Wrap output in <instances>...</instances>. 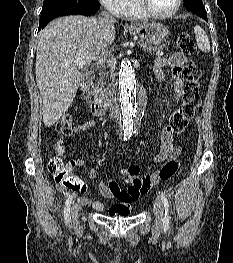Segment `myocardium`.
<instances>
[{
    "label": "myocardium",
    "instance_id": "myocardium-1",
    "mask_svg": "<svg viewBox=\"0 0 233 263\" xmlns=\"http://www.w3.org/2000/svg\"><path fill=\"white\" fill-rule=\"evenodd\" d=\"M135 3L137 5V7L147 16V17H151V18H156V19H166V18H170L172 16H174L175 14L178 13L181 4H182V0H176V5L174 7L173 10H171L170 12L167 13H157L155 11H153L148 3L147 0H135Z\"/></svg>",
    "mask_w": 233,
    "mask_h": 263
}]
</instances>
